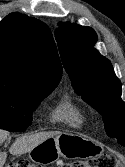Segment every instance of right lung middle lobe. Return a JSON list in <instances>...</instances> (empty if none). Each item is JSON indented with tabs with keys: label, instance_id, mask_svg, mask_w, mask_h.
Instances as JSON below:
<instances>
[{
	"label": "right lung middle lobe",
	"instance_id": "right-lung-middle-lobe-1",
	"mask_svg": "<svg viewBox=\"0 0 125 167\" xmlns=\"http://www.w3.org/2000/svg\"><path fill=\"white\" fill-rule=\"evenodd\" d=\"M54 88L29 94L0 91V128L11 132L25 131L31 125L32 111Z\"/></svg>",
	"mask_w": 125,
	"mask_h": 167
}]
</instances>
